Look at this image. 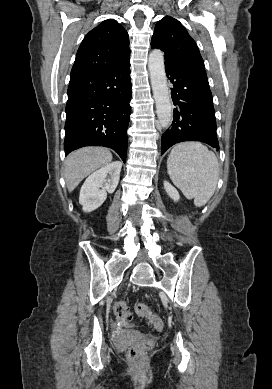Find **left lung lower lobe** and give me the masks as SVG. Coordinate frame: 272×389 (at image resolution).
<instances>
[{
  "mask_svg": "<svg viewBox=\"0 0 272 389\" xmlns=\"http://www.w3.org/2000/svg\"><path fill=\"white\" fill-rule=\"evenodd\" d=\"M166 75L173 84L172 126L161 138V154L172 145L184 141L204 142L217 150L216 119L207 74L203 69H170Z\"/></svg>",
  "mask_w": 272,
  "mask_h": 389,
  "instance_id": "1",
  "label": "left lung lower lobe"
}]
</instances>
